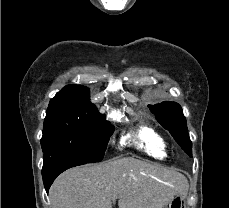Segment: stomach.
I'll list each match as a JSON object with an SVG mask.
<instances>
[{"instance_id":"1","label":"stomach","mask_w":229,"mask_h":208,"mask_svg":"<svg viewBox=\"0 0 229 208\" xmlns=\"http://www.w3.org/2000/svg\"><path fill=\"white\" fill-rule=\"evenodd\" d=\"M187 192H174L164 208H185Z\"/></svg>"}]
</instances>
